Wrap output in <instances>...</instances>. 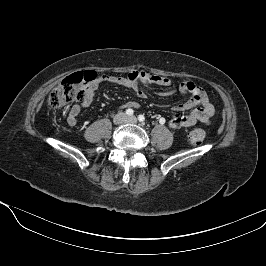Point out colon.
I'll return each mask as SVG.
<instances>
[{
	"label": "colon",
	"instance_id": "colon-1",
	"mask_svg": "<svg viewBox=\"0 0 266 266\" xmlns=\"http://www.w3.org/2000/svg\"><path fill=\"white\" fill-rule=\"evenodd\" d=\"M93 71L76 72L67 76L48 97V106L51 109H60L72 102L82 101L86 88L96 80ZM205 138V131L196 128L188 134V142L192 146L200 145Z\"/></svg>",
	"mask_w": 266,
	"mask_h": 266
}]
</instances>
